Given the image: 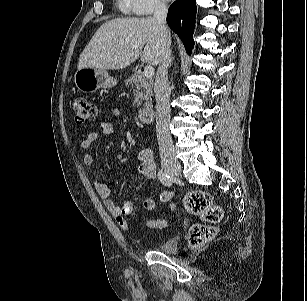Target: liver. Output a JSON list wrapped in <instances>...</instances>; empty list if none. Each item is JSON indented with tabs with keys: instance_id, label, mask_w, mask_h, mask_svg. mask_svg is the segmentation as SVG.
Returning <instances> with one entry per match:
<instances>
[{
	"instance_id": "liver-1",
	"label": "liver",
	"mask_w": 307,
	"mask_h": 301,
	"mask_svg": "<svg viewBox=\"0 0 307 301\" xmlns=\"http://www.w3.org/2000/svg\"><path fill=\"white\" fill-rule=\"evenodd\" d=\"M161 55V31L154 17L117 18L96 31L79 57L78 69H122L139 56L142 62L158 65Z\"/></svg>"
}]
</instances>
